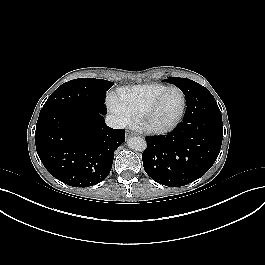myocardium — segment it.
I'll use <instances>...</instances> for the list:
<instances>
[{
  "label": "myocardium",
  "instance_id": "f54148a6",
  "mask_svg": "<svg viewBox=\"0 0 265 265\" xmlns=\"http://www.w3.org/2000/svg\"><path fill=\"white\" fill-rule=\"evenodd\" d=\"M170 90L178 91L181 95L182 104H181V108H180L178 114L176 115V117L171 122H169L166 125H163V126L152 125L149 121L152 113L154 112V110L158 106V104L161 101V99L163 98V96ZM186 107H187V98H186L184 91L177 86H167L149 104V106L147 107L146 111L144 112V114H143V116L139 122V128L141 130L145 131L146 133L153 134V135H164V134L170 133L182 121V119L185 115Z\"/></svg>",
  "mask_w": 265,
  "mask_h": 265
}]
</instances>
